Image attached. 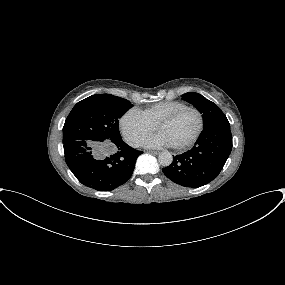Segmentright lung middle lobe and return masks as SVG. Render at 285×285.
Returning a JSON list of instances; mask_svg holds the SVG:
<instances>
[{
    "mask_svg": "<svg viewBox=\"0 0 285 285\" xmlns=\"http://www.w3.org/2000/svg\"><path fill=\"white\" fill-rule=\"evenodd\" d=\"M132 106L128 100L110 94H96L78 102L65 121L63 144L120 140L119 118Z\"/></svg>",
    "mask_w": 285,
    "mask_h": 285,
    "instance_id": "obj_1",
    "label": "right lung middle lobe"
}]
</instances>
